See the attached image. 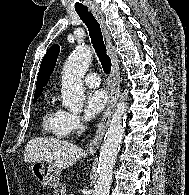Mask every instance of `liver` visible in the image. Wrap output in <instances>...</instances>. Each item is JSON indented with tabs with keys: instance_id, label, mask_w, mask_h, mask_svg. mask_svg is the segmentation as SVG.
<instances>
[{
	"instance_id": "1",
	"label": "liver",
	"mask_w": 189,
	"mask_h": 195,
	"mask_svg": "<svg viewBox=\"0 0 189 195\" xmlns=\"http://www.w3.org/2000/svg\"><path fill=\"white\" fill-rule=\"evenodd\" d=\"M83 155V150L73 143L54 138L38 137L26 144L24 161L35 163L45 160L55 163L59 168H68Z\"/></svg>"
}]
</instances>
